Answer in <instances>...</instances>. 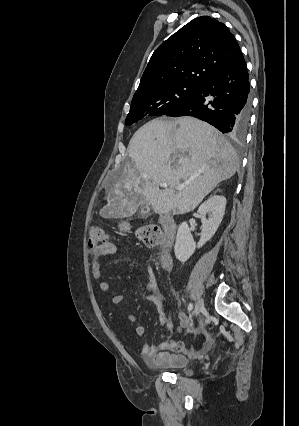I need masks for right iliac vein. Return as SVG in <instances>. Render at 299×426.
Here are the masks:
<instances>
[{
    "instance_id": "right-iliac-vein-1",
    "label": "right iliac vein",
    "mask_w": 299,
    "mask_h": 426,
    "mask_svg": "<svg viewBox=\"0 0 299 426\" xmlns=\"http://www.w3.org/2000/svg\"><path fill=\"white\" fill-rule=\"evenodd\" d=\"M204 309V301L203 299H198V301L196 302L193 314L195 316H197L202 310Z\"/></svg>"
}]
</instances>
